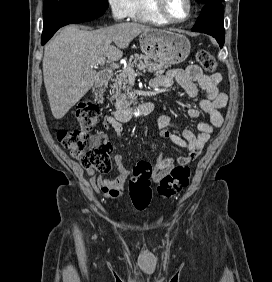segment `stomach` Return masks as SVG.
<instances>
[{"label":"stomach","instance_id":"stomach-1","mask_svg":"<svg viewBox=\"0 0 272 282\" xmlns=\"http://www.w3.org/2000/svg\"><path fill=\"white\" fill-rule=\"evenodd\" d=\"M142 51L160 64H179L190 54L189 39L174 30L151 29L139 37Z\"/></svg>","mask_w":272,"mask_h":282}]
</instances>
